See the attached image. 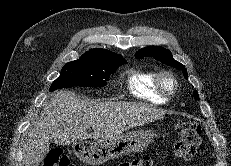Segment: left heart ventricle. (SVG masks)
<instances>
[{"mask_svg":"<svg viewBox=\"0 0 231 166\" xmlns=\"http://www.w3.org/2000/svg\"><path fill=\"white\" fill-rule=\"evenodd\" d=\"M167 86H168V87L170 86V83H169V82H167Z\"/></svg>","mask_w":231,"mask_h":166,"instance_id":"b2bd125f","label":"left heart ventricle"}]
</instances>
